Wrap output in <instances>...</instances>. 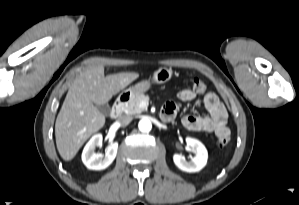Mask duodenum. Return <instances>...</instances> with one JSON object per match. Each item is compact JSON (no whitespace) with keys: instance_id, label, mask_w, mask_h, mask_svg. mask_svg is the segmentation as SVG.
<instances>
[{"instance_id":"1","label":"duodenum","mask_w":299,"mask_h":205,"mask_svg":"<svg viewBox=\"0 0 299 205\" xmlns=\"http://www.w3.org/2000/svg\"><path fill=\"white\" fill-rule=\"evenodd\" d=\"M127 101H128V97L122 96L113 104L111 113H110L112 118H117L122 113L123 107ZM161 117L163 120L169 121L168 114H166V113L161 114Z\"/></svg>"}]
</instances>
